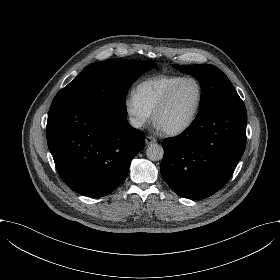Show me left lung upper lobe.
I'll list each match as a JSON object with an SVG mask.
<instances>
[{
    "mask_svg": "<svg viewBox=\"0 0 280 280\" xmlns=\"http://www.w3.org/2000/svg\"><path fill=\"white\" fill-rule=\"evenodd\" d=\"M173 67L181 72L193 75L200 82L201 99L199 113L224 101L239 98L227 76L214 65H173Z\"/></svg>",
    "mask_w": 280,
    "mask_h": 280,
    "instance_id": "1",
    "label": "left lung upper lobe"
}]
</instances>
